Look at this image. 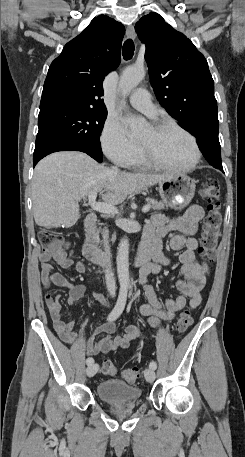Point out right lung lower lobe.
<instances>
[{
  "instance_id": "right-lung-lower-lobe-1",
  "label": "right lung lower lobe",
  "mask_w": 245,
  "mask_h": 457,
  "mask_svg": "<svg viewBox=\"0 0 245 457\" xmlns=\"http://www.w3.org/2000/svg\"><path fill=\"white\" fill-rule=\"evenodd\" d=\"M57 151H82L79 147L72 146V145H50L34 151L33 155V163L34 166L41 160L43 157L47 156L50 153L57 152ZM83 152V151H82Z\"/></svg>"
}]
</instances>
